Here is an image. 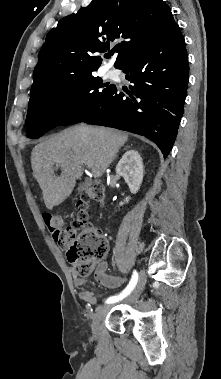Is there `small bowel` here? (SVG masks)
Returning <instances> with one entry per match:
<instances>
[{
  "mask_svg": "<svg viewBox=\"0 0 221 379\" xmlns=\"http://www.w3.org/2000/svg\"><path fill=\"white\" fill-rule=\"evenodd\" d=\"M107 267L108 264L105 260H101L99 262L94 274L96 281L108 288L119 287L122 284L123 279L118 276L107 274ZM73 278L76 286H81L85 283V280L83 278H80L76 273H73ZM79 297L89 305H95L97 303V297L90 290L81 291L79 293Z\"/></svg>",
  "mask_w": 221,
  "mask_h": 379,
  "instance_id": "small-bowel-1",
  "label": "small bowel"
}]
</instances>
